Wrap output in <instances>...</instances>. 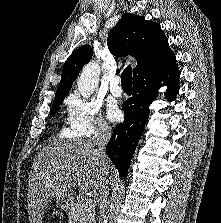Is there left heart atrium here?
I'll use <instances>...</instances> for the list:
<instances>
[{"mask_svg": "<svg viewBox=\"0 0 221 223\" xmlns=\"http://www.w3.org/2000/svg\"><path fill=\"white\" fill-rule=\"evenodd\" d=\"M107 117L109 120L115 122L121 118V111L114 103H108L106 107Z\"/></svg>", "mask_w": 221, "mask_h": 223, "instance_id": "1", "label": "left heart atrium"}]
</instances>
